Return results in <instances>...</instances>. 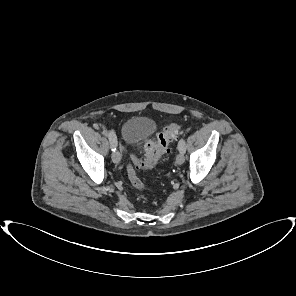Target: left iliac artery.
Masks as SVG:
<instances>
[{
  "mask_svg": "<svg viewBox=\"0 0 296 296\" xmlns=\"http://www.w3.org/2000/svg\"><path fill=\"white\" fill-rule=\"evenodd\" d=\"M178 150L180 152H185V140L184 139H180V141L178 142Z\"/></svg>",
  "mask_w": 296,
  "mask_h": 296,
  "instance_id": "obj_1",
  "label": "left iliac artery"
}]
</instances>
